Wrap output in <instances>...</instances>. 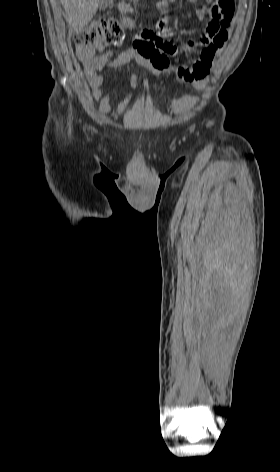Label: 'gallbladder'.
I'll return each mask as SVG.
<instances>
[{
    "mask_svg": "<svg viewBox=\"0 0 280 472\" xmlns=\"http://www.w3.org/2000/svg\"><path fill=\"white\" fill-rule=\"evenodd\" d=\"M113 0H99L100 9L104 10L112 4Z\"/></svg>",
    "mask_w": 280,
    "mask_h": 472,
    "instance_id": "obj_1",
    "label": "gallbladder"
}]
</instances>
